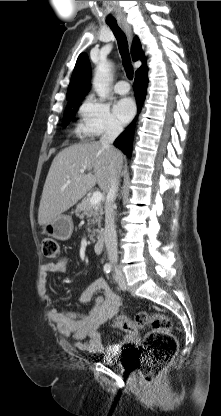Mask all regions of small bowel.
Instances as JSON below:
<instances>
[{"label": "small bowel", "mask_w": 221, "mask_h": 416, "mask_svg": "<svg viewBox=\"0 0 221 416\" xmlns=\"http://www.w3.org/2000/svg\"><path fill=\"white\" fill-rule=\"evenodd\" d=\"M70 263L71 259L67 256H61L57 262H44L39 277L45 281L49 274H63ZM100 292L102 294L98 295ZM79 302L82 305L92 302L87 313L52 308L49 312L51 321L63 336L74 339L79 350L92 354H112L120 344L104 347L98 329L118 314L122 305L120 296L111 290L103 278H97L83 290ZM130 342V336L123 337L121 341L122 344Z\"/></svg>", "instance_id": "obj_1"}]
</instances>
